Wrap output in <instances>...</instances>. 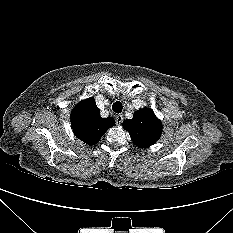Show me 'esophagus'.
Returning <instances> with one entry per match:
<instances>
[{
  "instance_id": "esophagus-1",
  "label": "esophagus",
  "mask_w": 233,
  "mask_h": 233,
  "mask_svg": "<svg viewBox=\"0 0 233 233\" xmlns=\"http://www.w3.org/2000/svg\"><path fill=\"white\" fill-rule=\"evenodd\" d=\"M122 121H123V115L118 114V115L116 116V124H117V125H120V124L122 123Z\"/></svg>"
}]
</instances>
